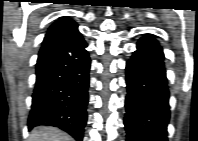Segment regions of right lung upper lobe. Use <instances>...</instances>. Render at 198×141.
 Masks as SVG:
<instances>
[{
    "instance_id": "1",
    "label": "right lung upper lobe",
    "mask_w": 198,
    "mask_h": 141,
    "mask_svg": "<svg viewBox=\"0 0 198 141\" xmlns=\"http://www.w3.org/2000/svg\"><path fill=\"white\" fill-rule=\"evenodd\" d=\"M78 25L71 19L60 18L54 22L47 31L43 40L42 47L50 43L62 40L76 32Z\"/></svg>"
}]
</instances>
